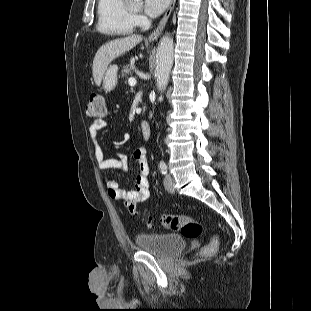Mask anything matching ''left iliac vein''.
<instances>
[{
  "label": "left iliac vein",
  "instance_id": "left-iliac-vein-1",
  "mask_svg": "<svg viewBox=\"0 0 311 311\" xmlns=\"http://www.w3.org/2000/svg\"><path fill=\"white\" fill-rule=\"evenodd\" d=\"M164 187L169 193L175 192L174 181L170 174H166L164 178Z\"/></svg>",
  "mask_w": 311,
  "mask_h": 311
}]
</instances>
